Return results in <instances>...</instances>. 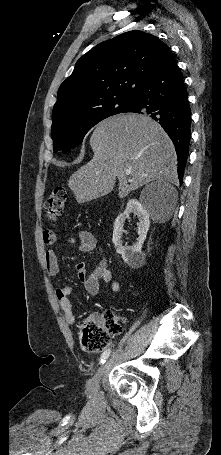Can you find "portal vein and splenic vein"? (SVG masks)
Segmentation results:
<instances>
[{"mask_svg":"<svg viewBox=\"0 0 221 455\" xmlns=\"http://www.w3.org/2000/svg\"><path fill=\"white\" fill-rule=\"evenodd\" d=\"M130 170H126V175H129L130 174Z\"/></svg>","mask_w":221,"mask_h":455,"instance_id":"portal-vein-and-splenic-vein-1","label":"portal vein and splenic vein"}]
</instances>
